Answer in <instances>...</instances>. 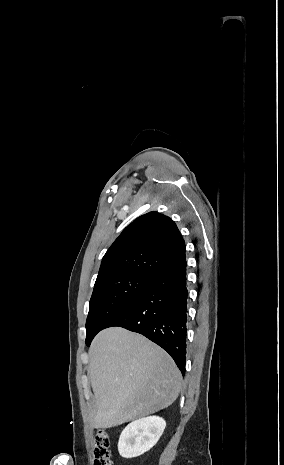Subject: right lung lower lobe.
Segmentation results:
<instances>
[{"label": "right lung lower lobe", "mask_w": 284, "mask_h": 465, "mask_svg": "<svg viewBox=\"0 0 284 465\" xmlns=\"http://www.w3.org/2000/svg\"><path fill=\"white\" fill-rule=\"evenodd\" d=\"M187 300L186 260H183L153 278L103 329L120 326L144 335L166 350L184 374Z\"/></svg>", "instance_id": "right-lung-lower-lobe-1"}]
</instances>
